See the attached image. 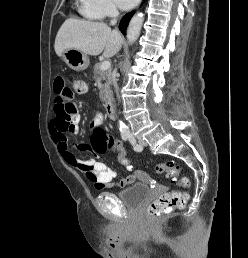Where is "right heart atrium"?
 <instances>
[{
    "label": "right heart atrium",
    "mask_w": 248,
    "mask_h": 258,
    "mask_svg": "<svg viewBox=\"0 0 248 258\" xmlns=\"http://www.w3.org/2000/svg\"><path fill=\"white\" fill-rule=\"evenodd\" d=\"M80 2L82 14L92 19H103L117 11L112 0H80Z\"/></svg>",
    "instance_id": "obj_1"
}]
</instances>
